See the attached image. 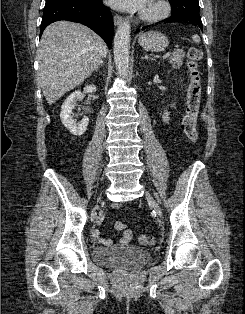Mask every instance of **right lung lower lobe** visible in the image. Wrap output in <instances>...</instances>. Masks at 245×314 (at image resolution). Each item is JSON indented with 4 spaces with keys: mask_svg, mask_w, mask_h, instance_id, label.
Masks as SVG:
<instances>
[{
    "mask_svg": "<svg viewBox=\"0 0 245 314\" xmlns=\"http://www.w3.org/2000/svg\"><path fill=\"white\" fill-rule=\"evenodd\" d=\"M68 20L88 26L111 47L114 33L113 17L102 0H46L40 36L51 23Z\"/></svg>",
    "mask_w": 245,
    "mask_h": 314,
    "instance_id": "1",
    "label": "right lung lower lobe"
}]
</instances>
